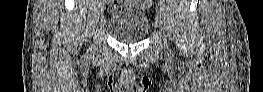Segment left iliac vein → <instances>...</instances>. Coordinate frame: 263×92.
<instances>
[{
    "label": "left iliac vein",
    "mask_w": 263,
    "mask_h": 92,
    "mask_svg": "<svg viewBox=\"0 0 263 92\" xmlns=\"http://www.w3.org/2000/svg\"><path fill=\"white\" fill-rule=\"evenodd\" d=\"M155 6H158V3H155ZM156 17H157V21L159 22L160 29L162 33L164 34L165 33L164 16H161L160 10L157 11ZM166 47H167V44H166Z\"/></svg>",
    "instance_id": "left-iliac-vein-1"
}]
</instances>
